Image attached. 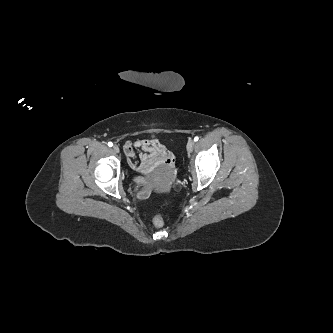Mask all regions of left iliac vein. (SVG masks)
Here are the masks:
<instances>
[{"instance_id":"4c4485c4","label":"left iliac vein","mask_w":333,"mask_h":333,"mask_svg":"<svg viewBox=\"0 0 333 333\" xmlns=\"http://www.w3.org/2000/svg\"><path fill=\"white\" fill-rule=\"evenodd\" d=\"M194 141L193 140H189L188 143H187V151L188 152H192L193 151V148H194Z\"/></svg>"}]
</instances>
